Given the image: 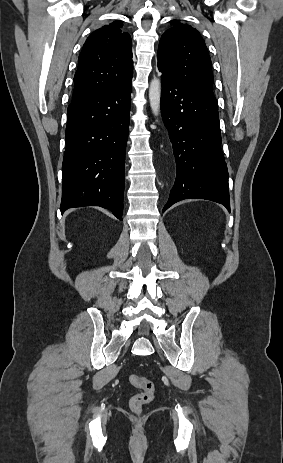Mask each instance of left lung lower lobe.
Listing matches in <instances>:
<instances>
[{
	"instance_id": "1",
	"label": "left lung lower lobe",
	"mask_w": 283,
	"mask_h": 463,
	"mask_svg": "<svg viewBox=\"0 0 283 463\" xmlns=\"http://www.w3.org/2000/svg\"><path fill=\"white\" fill-rule=\"evenodd\" d=\"M158 69L163 73L161 113L176 161V180L163 212L183 199L215 201L230 211L217 102Z\"/></svg>"
}]
</instances>
